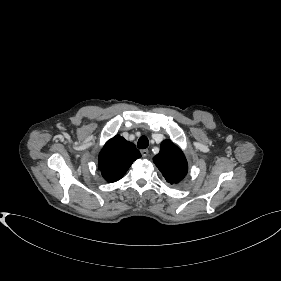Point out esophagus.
Returning a JSON list of instances; mask_svg holds the SVG:
<instances>
[{"mask_svg": "<svg viewBox=\"0 0 281 281\" xmlns=\"http://www.w3.org/2000/svg\"><path fill=\"white\" fill-rule=\"evenodd\" d=\"M148 153H149L148 149L141 150L142 157L144 158L148 156Z\"/></svg>", "mask_w": 281, "mask_h": 281, "instance_id": "1", "label": "esophagus"}]
</instances>
